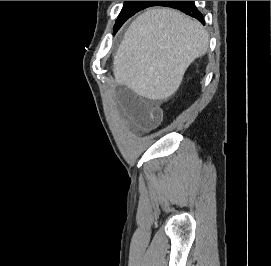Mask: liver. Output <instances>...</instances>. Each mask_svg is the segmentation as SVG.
<instances>
[{
    "instance_id": "1",
    "label": "liver",
    "mask_w": 271,
    "mask_h": 266,
    "mask_svg": "<svg viewBox=\"0 0 271 266\" xmlns=\"http://www.w3.org/2000/svg\"><path fill=\"white\" fill-rule=\"evenodd\" d=\"M208 45V33L197 20L169 8L149 9L125 33L113 59L115 80L139 96L168 99Z\"/></svg>"
}]
</instances>
